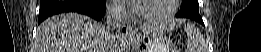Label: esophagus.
Here are the masks:
<instances>
[{"mask_svg": "<svg viewBox=\"0 0 261 52\" xmlns=\"http://www.w3.org/2000/svg\"><path fill=\"white\" fill-rule=\"evenodd\" d=\"M121 34L124 37H129L131 35H133V29L131 26H122L121 27Z\"/></svg>", "mask_w": 261, "mask_h": 52, "instance_id": "esophagus-1", "label": "esophagus"}]
</instances>
